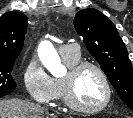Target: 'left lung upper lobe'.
I'll use <instances>...</instances> for the list:
<instances>
[{
    "mask_svg": "<svg viewBox=\"0 0 133 118\" xmlns=\"http://www.w3.org/2000/svg\"><path fill=\"white\" fill-rule=\"evenodd\" d=\"M74 26L120 98L133 110V68L114 24L100 11L88 8L76 14Z\"/></svg>",
    "mask_w": 133,
    "mask_h": 118,
    "instance_id": "1",
    "label": "left lung upper lobe"
}]
</instances>
